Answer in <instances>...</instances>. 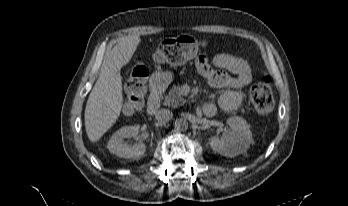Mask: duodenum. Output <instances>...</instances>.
Wrapping results in <instances>:
<instances>
[{"instance_id":"1","label":"duodenum","mask_w":348,"mask_h":206,"mask_svg":"<svg viewBox=\"0 0 348 206\" xmlns=\"http://www.w3.org/2000/svg\"><path fill=\"white\" fill-rule=\"evenodd\" d=\"M162 92V85L156 80H153L151 83V95L147 104V111L149 114H155L160 108ZM202 112L207 116H212L215 113V108L212 104L205 103L202 106Z\"/></svg>"}]
</instances>
